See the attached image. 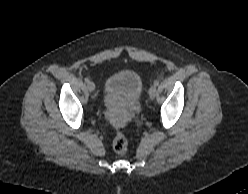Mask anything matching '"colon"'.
<instances>
[{"mask_svg":"<svg viewBox=\"0 0 248 194\" xmlns=\"http://www.w3.org/2000/svg\"><path fill=\"white\" fill-rule=\"evenodd\" d=\"M113 150L120 155L125 154L128 151V141L126 137L118 132L113 139Z\"/></svg>","mask_w":248,"mask_h":194,"instance_id":"1","label":"colon"}]
</instances>
